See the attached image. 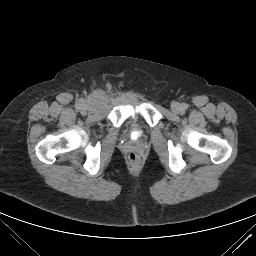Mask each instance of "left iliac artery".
<instances>
[{
	"mask_svg": "<svg viewBox=\"0 0 256 256\" xmlns=\"http://www.w3.org/2000/svg\"><path fill=\"white\" fill-rule=\"evenodd\" d=\"M187 108H188V105L186 103H183L182 104V110H187Z\"/></svg>",
	"mask_w": 256,
	"mask_h": 256,
	"instance_id": "obj_1",
	"label": "left iliac artery"
}]
</instances>
